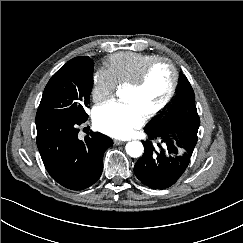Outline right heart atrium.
Masks as SVG:
<instances>
[{"label": "right heart atrium", "mask_w": 243, "mask_h": 243, "mask_svg": "<svg viewBox=\"0 0 243 243\" xmlns=\"http://www.w3.org/2000/svg\"><path fill=\"white\" fill-rule=\"evenodd\" d=\"M117 83L107 69L100 68L93 73L91 96L95 102H103L114 96Z\"/></svg>", "instance_id": "1"}]
</instances>
